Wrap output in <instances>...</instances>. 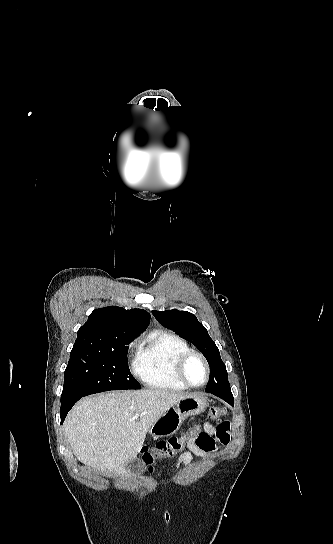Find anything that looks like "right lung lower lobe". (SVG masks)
Here are the masks:
<instances>
[{
  "label": "right lung lower lobe",
  "mask_w": 333,
  "mask_h": 544,
  "mask_svg": "<svg viewBox=\"0 0 333 544\" xmlns=\"http://www.w3.org/2000/svg\"><path fill=\"white\" fill-rule=\"evenodd\" d=\"M80 398H70V397H64L61 398V424L63 423L67 413L69 410L73 407V405L79 400Z\"/></svg>",
  "instance_id": "right-lung-lower-lobe-1"
}]
</instances>
